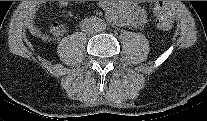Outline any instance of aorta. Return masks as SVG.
I'll return each mask as SVG.
<instances>
[{"mask_svg": "<svg viewBox=\"0 0 207 121\" xmlns=\"http://www.w3.org/2000/svg\"><path fill=\"white\" fill-rule=\"evenodd\" d=\"M124 7L123 1H113L109 8L110 18L117 25L126 26L131 22L130 10Z\"/></svg>", "mask_w": 207, "mask_h": 121, "instance_id": "762f6f07", "label": "aorta"}]
</instances>
